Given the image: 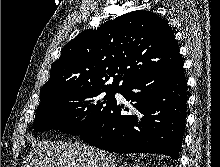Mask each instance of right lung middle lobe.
Segmentation results:
<instances>
[{
	"instance_id": "dd1d6c3e",
	"label": "right lung middle lobe",
	"mask_w": 220,
	"mask_h": 167,
	"mask_svg": "<svg viewBox=\"0 0 220 167\" xmlns=\"http://www.w3.org/2000/svg\"><path fill=\"white\" fill-rule=\"evenodd\" d=\"M106 92L103 97L102 93ZM118 90L84 87L63 91L42 101L36 110V131L57 129L80 135L94 126L111 108Z\"/></svg>"
}]
</instances>
